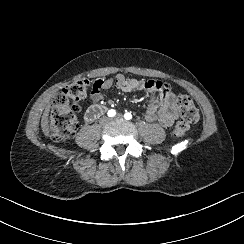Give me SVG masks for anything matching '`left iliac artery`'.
<instances>
[{"label":"left iliac artery","instance_id":"left-iliac-artery-1","mask_svg":"<svg viewBox=\"0 0 244 244\" xmlns=\"http://www.w3.org/2000/svg\"><path fill=\"white\" fill-rule=\"evenodd\" d=\"M124 118H125L126 120H130V119L132 118V114L129 113V112H126V113L124 114Z\"/></svg>","mask_w":244,"mask_h":244}]
</instances>
